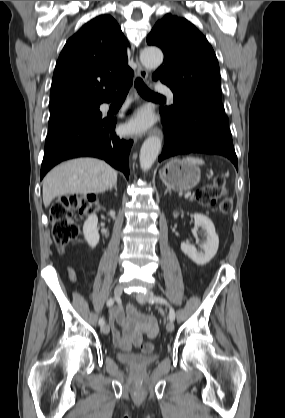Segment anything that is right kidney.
Masks as SVG:
<instances>
[{
	"mask_svg": "<svg viewBox=\"0 0 285 418\" xmlns=\"http://www.w3.org/2000/svg\"><path fill=\"white\" fill-rule=\"evenodd\" d=\"M97 224V216L95 214H91L83 225L84 238L91 248L96 247V245L99 242L100 237L98 233Z\"/></svg>",
	"mask_w": 285,
	"mask_h": 418,
	"instance_id": "1",
	"label": "right kidney"
}]
</instances>
